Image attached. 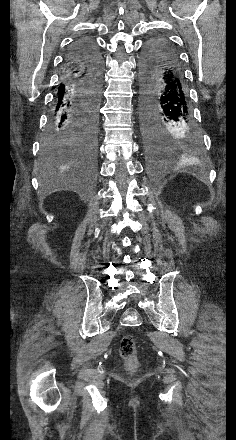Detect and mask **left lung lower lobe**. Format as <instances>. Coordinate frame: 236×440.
<instances>
[{
    "label": "left lung lower lobe",
    "instance_id": "obj_1",
    "mask_svg": "<svg viewBox=\"0 0 236 440\" xmlns=\"http://www.w3.org/2000/svg\"><path fill=\"white\" fill-rule=\"evenodd\" d=\"M141 130L152 154L172 144L199 141L188 89L179 59L163 53L153 62L141 64Z\"/></svg>",
    "mask_w": 236,
    "mask_h": 440
}]
</instances>
